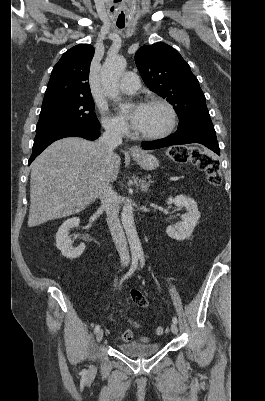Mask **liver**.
I'll list each match as a JSON object with an SVG mask.
<instances>
[{"instance_id":"1","label":"liver","mask_w":265,"mask_h":401,"mask_svg":"<svg viewBox=\"0 0 265 401\" xmlns=\"http://www.w3.org/2000/svg\"><path fill=\"white\" fill-rule=\"evenodd\" d=\"M120 156L109 158L99 140L61 138L31 164L28 227L84 211L104 180H116Z\"/></svg>"}]
</instances>
